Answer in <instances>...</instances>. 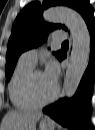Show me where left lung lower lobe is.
<instances>
[{
    "mask_svg": "<svg viewBox=\"0 0 95 130\" xmlns=\"http://www.w3.org/2000/svg\"><path fill=\"white\" fill-rule=\"evenodd\" d=\"M91 34L90 62L81 80L79 88L72 99H60L43 109V112L63 126L73 130H84L89 126L90 97L93 88L95 69V20L93 11L84 17ZM66 55L60 52L62 60Z\"/></svg>",
    "mask_w": 95,
    "mask_h": 130,
    "instance_id": "obj_1",
    "label": "left lung lower lobe"
}]
</instances>
